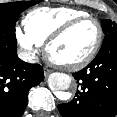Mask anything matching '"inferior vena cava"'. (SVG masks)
<instances>
[{"label": "inferior vena cava", "instance_id": "1", "mask_svg": "<svg viewBox=\"0 0 117 117\" xmlns=\"http://www.w3.org/2000/svg\"><path fill=\"white\" fill-rule=\"evenodd\" d=\"M18 56H19L20 59H22L24 61H29V62H32V63L37 62V58L29 55L26 51H20L18 53Z\"/></svg>", "mask_w": 117, "mask_h": 117}]
</instances>
